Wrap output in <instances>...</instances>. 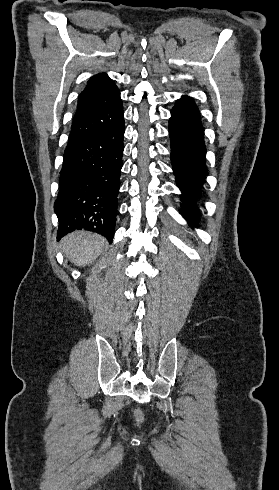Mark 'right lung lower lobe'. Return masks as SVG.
<instances>
[{
    "instance_id": "98d812e1",
    "label": "right lung lower lobe",
    "mask_w": 279,
    "mask_h": 490,
    "mask_svg": "<svg viewBox=\"0 0 279 490\" xmlns=\"http://www.w3.org/2000/svg\"><path fill=\"white\" fill-rule=\"evenodd\" d=\"M124 119L113 128L66 147L54 211L57 240L74 230L114 236L124 149Z\"/></svg>"
}]
</instances>
